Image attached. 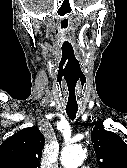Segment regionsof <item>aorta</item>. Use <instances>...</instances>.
I'll list each match as a JSON object with an SVG mask.
<instances>
[{
  "label": "aorta",
  "instance_id": "762f6f07",
  "mask_svg": "<svg viewBox=\"0 0 127 168\" xmlns=\"http://www.w3.org/2000/svg\"><path fill=\"white\" fill-rule=\"evenodd\" d=\"M85 158V151L80 145L67 147L61 153V163L65 168H77Z\"/></svg>",
  "mask_w": 127,
  "mask_h": 168
}]
</instances>
